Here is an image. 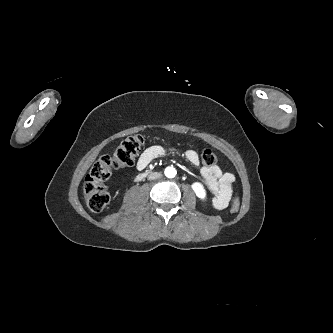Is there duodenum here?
<instances>
[{
    "instance_id": "1",
    "label": "duodenum",
    "mask_w": 333,
    "mask_h": 333,
    "mask_svg": "<svg viewBox=\"0 0 333 333\" xmlns=\"http://www.w3.org/2000/svg\"><path fill=\"white\" fill-rule=\"evenodd\" d=\"M146 174H140L137 177V180H142L143 178H145Z\"/></svg>"
}]
</instances>
